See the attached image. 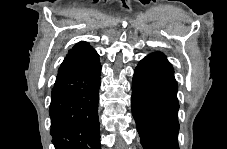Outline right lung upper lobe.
I'll list each match as a JSON object with an SVG mask.
<instances>
[{
	"label": "right lung upper lobe",
	"mask_w": 227,
	"mask_h": 149,
	"mask_svg": "<svg viewBox=\"0 0 227 149\" xmlns=\"http://www.w3.org/2000/svg\"><path fill=\"white\" fill-rule=\"evenodd\" d=\"M96 57H98L96 51L85 41H80L69 50L58 71L92 60Z\"/></svg>",
	"instance_id": "obj_1"
}]
</instances>
